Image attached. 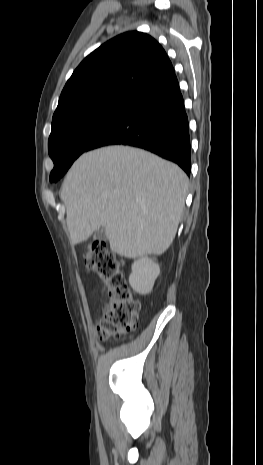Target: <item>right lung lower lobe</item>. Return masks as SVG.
<instances>
[{"instance_id": "obj_1", "label": "right lung lower lobe", "mask_w": 263, "mask_h": 465, "mask_svg": "<svg viewBox=\"0 0 263 465\" xmlns=\"http://www.w3.org/2000/svg\"><path fill=\"white\" fill-rule=\"evenodd\" d=\"M112 144L151 151L175 162L190 175L188 118L175 74L139 93L127 111L89 150Z\"/></svg>"}]
</instances>
